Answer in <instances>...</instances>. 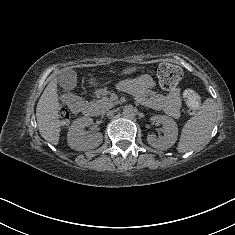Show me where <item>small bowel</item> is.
<instances>
[{
	"mask_svg": "<svg viewBox=\"0 0 235 235\" xmlns=\"http://www.w3.org/2000/svg\"><path fill=\"white\" fill-rule=\"evenodd\" d=\"M139 84L141 87H145L150 84L147 77H143L139 79ZM145 105L160 109L164 108V110L172 117L178 116L179 107L181 104V91L178 88H173L169 93L168 100L166 103L162 101V99L158 96H151V97H140L139 99Z\"/></svg>",
	"mask_w": 235,
	"mask_h": 235,
	"instance_id": "obj_1",
	"label": "small bowel"
}]
</instances>
